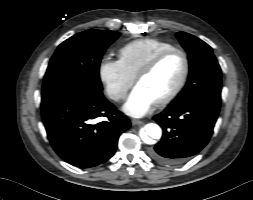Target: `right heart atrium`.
Masks as SVG:
<instances>
[{
  "label": "right heart atrium",
  "instance_id": "obj_1",
  "mask_svg": "<svg viewBox=\"0 0 253 200\" xmlns=\"http://www.w3.org/2000/svg\"><path fill=\"white\" fill-rule=\"evenodd\" d=\"M98 77L106 95L115 102L124 99L133 84V78L124 70L121 62L107 57L99 63Z\"/></svg>",
  "mask_w": 253,
  "mask_h": 200
}]
</instances>
